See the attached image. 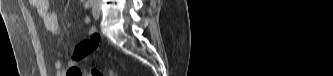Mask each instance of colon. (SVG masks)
<instances>
[{"mask_svg": "<svg viewBox=\"0 0 333 76\" xmlns=\"http://www.w3.org/2000/svg\"><path fill=\"white\" fill-rule=\"evenodd\" d=\"M82 75H83V72H82ZM88 75H90V76H102L103 74L100 70H98L96 68H92V69L89 70ZM109 75L114 76L115 74H114L113 71H110Z\"/></svg>", "mask_w": 333, "mask_h": 76, "instance_id": "5ec220e1", "label": "colon"}]
</instances>
